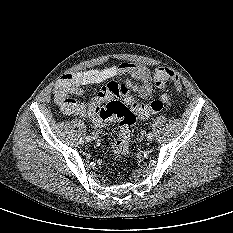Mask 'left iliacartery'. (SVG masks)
I'll return each mask as SVG.
<instances>
[{"label":"left iliac artery","mask_w":233,"mask_h":233,"mask_svg":"<svg viewBox=\"0 0 233 233\" xmlns=\"http://www.w3.org/2000/svg\"><path fill=\"white\" fill-rule=\"evenodd\" d=\"M153 133L152 132H149L148 134H147V138H148V140H152L153 139Z\"/></svg>","instance_id":"44dca946"}]
</instances>
